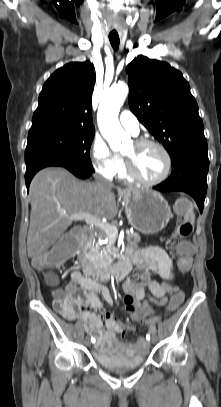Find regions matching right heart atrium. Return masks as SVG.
I'll return each instance as SVG.
<instances>
[{
    "mask_svg": "<svg viewBox=\"0 0 221 407\" xmlns=\"http://www.w3.org/2000/svg\"><path fill=\"white\" fill-rule=\"evenodd\" d=\"M90 155L93 167L103 176L112 178L118 173L122 158L113 152L102 138H94Z\"/></svg>",
    "mask_w": 221,
    "mask_h": 407,
    "instance_id": "1",
    "label": "right heart atrium"
}]
</instances>
